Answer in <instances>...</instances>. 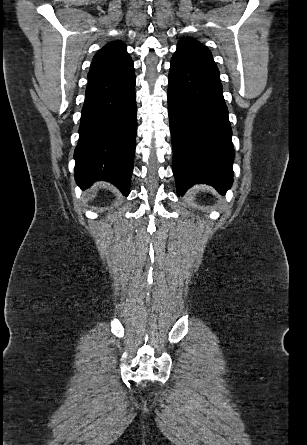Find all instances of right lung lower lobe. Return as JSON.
Listing matches in <instances>:
<instances>
[{
    "mask_svg": "<svg viewBox=\"0 0 307 445\" xmlns=\"http://www.w3.org/2000/svg\"><path fill=\"white\" fill-rule=\"evenodd\" d=\"M134 88L133 62L89 79L74 152L75 179L82 189L104 180L129 194L137 128Z\"/></svg>",
    "mask_w": 307,
    "mask_h": 445,
    "instance_id": "obj_1",
    "label": "right lung lower lobe"
}]
</instances>
